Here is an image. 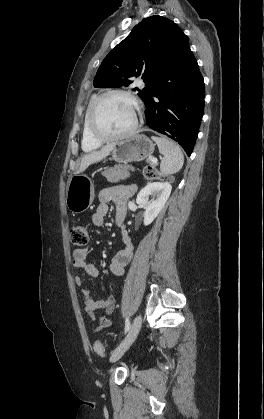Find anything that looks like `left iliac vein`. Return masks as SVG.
<instances>
[{
  "instance_id": "left-iliac-vein-1",
  "label": "left iliac vein",
  "mask_w": 264,
  "mask_h": 419,
  "mask_svg": "<svg viewBox=\"0 0 264 419\" xmlns=\"http://www.w3.org/2000/svg\"><path fill=\"white\" fill-rule=\"evenodd\" d=\"M142 325V317L140 315L136 316L135 319L132 322V325L130 327V330L124 340L118 345V347L113 351L110 361L115 362L117 361L126 351L127 349L132 345L134 340L136 339L140 328Z\"/></svg>"
}]
</instances>
